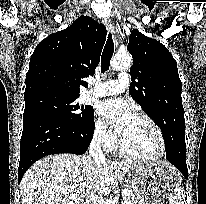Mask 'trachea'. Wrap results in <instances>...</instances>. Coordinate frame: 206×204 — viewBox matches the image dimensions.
Returning a JSON list of instances; mask_svg holds the SVG:
<instances>
[{"instance_id": "3493384b", "label": "trachea", "mask_w": 206, "mask_h": 204, "mask_svg": "<svg viewBox=\"0 0 206 204\" xmlns=\"http://www.w3.org/2000/svg\"><path fill=\"white\" fill-rule=\"evenodd\" d=\"M114 53V43L112 39L111 33L108 35V39L106 45L103 49L102 56H101V72L104 73L109 69L110 60Z\"/></svg>"}]
</instances>
